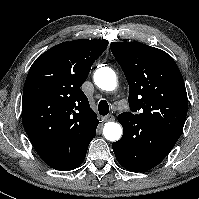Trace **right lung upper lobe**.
I'll use <instances>...</instances> for the list:
<instances>
[{"label":"right lung upper lobe","mask_w":199,"mask_h":199,"mask_svg":"<svg viewBox=\"0 0 199 199\" xmlns=\"http://www.w3.org/2000/svg\"><path fill=\"white\" fill-rule=\"evenodd\" d=\"M107 41L60 43L32 64L23 88L22 122L38 155L62 162L96 134L97 115L80 86Z\"/></svg>","instance_id":"obj_1"}]
</instances>
